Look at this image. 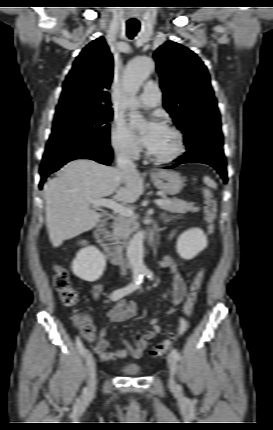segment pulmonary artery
Segmentation results:
<instances>
[{"label":"pulmonary artery","instance_id":"1","mask_svg":"<svg viewBox=\"0 0 273 430\" xmlns=\"http://www.w3.org/2000/svg\"><path fill=\"white\" fill-rule=\"evenodd\" d=\"M161 91L158 84L154 81H148L139 98V103L144 108H154L160 104Z\"/></svg>","mask_w":273,"mask_h":430}]
</instances>
